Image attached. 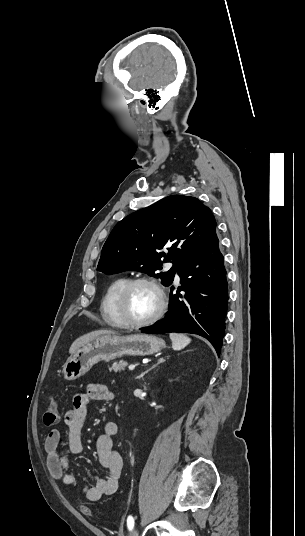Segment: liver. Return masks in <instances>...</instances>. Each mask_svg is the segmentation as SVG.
<instances>
[{
  "label": "liver",
  "instance_id": "obj_1",
  "mask_svg": "<svg viewBox=\"0 0 305 536\" xmlns=\"http://www.w3.org/2000/svg\"><path fill=\"white\" fill-rule=\"evenodd\" d=\"M104 334H115V332H110V330H96V332L85 334V336H81V338H77V340L73 342L69 354H75L76 350H79V348L88 344L90 340H94V338H98V336H104Z\"/></svg>",
  "mask_w": 305,
  "mask_h": 536
}]
</instances>
